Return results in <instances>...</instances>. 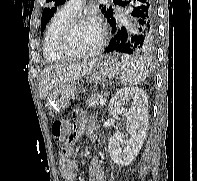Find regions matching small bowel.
I'll list each match as a JSON object with an SVG mask.
<instances>
[{
    "mask_svg": "<svg viewBox=\"0 0 197 181\" xmlns=\"http://www.w3.org/2000/svg\"><path fill=\"white\" fill-rule=\"evenodd\" d=\"M86 135L91 141L96 139V129L94 120L83 111H76L73 114V123L69 138L62 141L60 146L59 167L63 178L66 181H74L77 178L79 165L73 159V145L81 136ZM89 181H103L104 175L101 162L98 158H93L88 167Z\"/></svg>",
    "mask_w": 197,
    "mask_h": 181,
    "instance_id": "1",
    "label": "small bowel"
}]
</instances>
